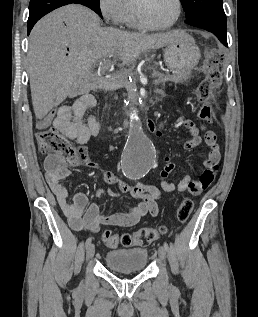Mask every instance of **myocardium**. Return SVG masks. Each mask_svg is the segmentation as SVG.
<instances>
[{
	"label": "myocardium",
	"mask_w": 258,
	"mask_h": 317,
	"mask_svg": "<svg viewBox=\"0 0 258 317\" xmlns=\"http://www.w3.org/2000/svg\"><path fill=\"white\" fill-rule=\"evenodd\" d=\"M152 1H154V0H139V2L137 3L136 10H135V18H136V23H137L138 28L143 30V31H147V32H156V31H164V30H167V29L173 27L178 22V20L181 16V12H182L181 1L180 0H173L176 4V7H177V13H176L174 20L171 23H169L167 25H163V26L150 27V26H147L144 22L143 11H144L145 7L149 3H151Z\"/></svg>",
	"instance_id": "obj_1"
}]
</instances>
